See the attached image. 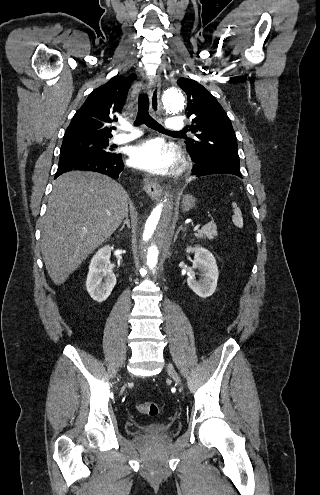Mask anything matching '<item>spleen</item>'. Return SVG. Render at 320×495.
<instances>
[{
  "instance_id": "obj_1",
  "label": "spleen",
  "mask_w": 320,
  "mask_h": 495,
  "mask_svg": "<svg viewBox=\"0 0 320 495\" xmlns=\"http://www.w3.org/2000/svg\"><path fill=\"white\" fill-rule=\"evenodd\" d=\"M232 206H233L232 221L234 225H236L238 228H242L243 218H242L241 210L237 207L236 203H232Z\"/></svg>"
}]
</instances>
